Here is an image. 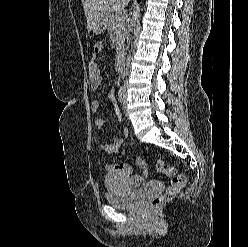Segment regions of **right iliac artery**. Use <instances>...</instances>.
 <instances>
[{
	"label": "right iliac artery",
	"instance_id": "right-iliac-artery-1",
	"mask_svg": "<svg viewBox=\"0 0 248 247\" xmlns=\"http://www.w3.org/2000/svg\"><path fill=\"white\" fill-rule=\"evenodd\" d=\"M124 93H125V90L123 87H121L119 89V92H118V99L119 101L122 103L123 102V98H124Z\"/></svg>",
	"mask_w": 248,
	"mask_h": 247
}]
</instances>
